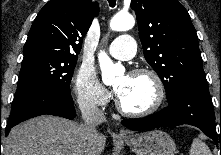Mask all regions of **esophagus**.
Masks as SVG:
<instances>
[{
    "label": "esophagus",
    "mask_w": 221,
    "mask_h": 155,
    "mask_svg": "<svg viewBox=\"0 0 221 155\" xmlns=\"http://www.w3.org/2000/svg\"><path fill=\"white\" fill-rule=\"evenodd\" d=\"M119 135H120L121 137H128V136H130V133H129L127 130L120 129Z\"/></svg>",
    "instance_id": "esophagus-1"
}]
</instances>
